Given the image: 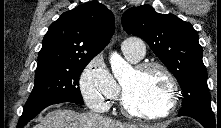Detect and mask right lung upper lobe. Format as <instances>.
Wrapping results in <instances>:
<instances>
[{
    "instance_id": "cb5924a9",
    "label": "right lung upper lobe",
    "mask_w": 221,
    "mask_h": 128,
    "mask_svg": "<svg viewBox=\"0 0 221 128\" xmlns=\"http://www.w3.org/2000/svg\"><path fill=\"white\" fill-rule=\"evenodd\" d=\"M114 29L112 12L96 1L63 13L44 36L36 70L93 59L109 43Z\"/></svg>"
}]
</instances>
